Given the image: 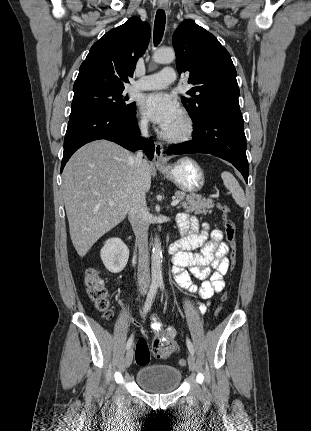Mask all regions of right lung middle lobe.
Masks as SVG:
<instances>
[{
  "mask_svg": "<svg viewBox=\"0 0 311 431\" xmlns=\"http://www.w3.org/2000/svg\"><path fill=\"white\" fill-rule=\"evenodd\" d=\"M123 90H86L74 93L71 114L87 110L100 109L121 114H132L136 110L135 102L128 103L127 96L122 95Z\"/></svg>",
  "mask_w": 311,
  "mask_h": 431,
  "instance_id": "obj_1",
  "label": "right lung middle lobe"
}]
</instances>
